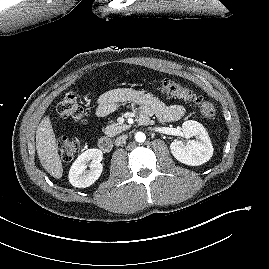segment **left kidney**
I'll list each match as a JSON object with an SVG mask.
<instances>
[{
  "mask_svg": "<svg viewBox=\"0 0 269 269\" xmlns=\"http://www.w3.org/2000/svg\"><path fill=\"white\" fill-rule=\"evenodd\" d=\"M182 136L186 139L194 136L196 140L187 144L179 140L171 143V153L178 161L189 166H199L211 159L213 146L202 124L193 120L185 121L182 124Z\"/></svg>",
  "mask_w": 269,
  "mask_h": 269,
  "instance_id": "obj_1",
  "label": "left kidney"
}]
</instances>
